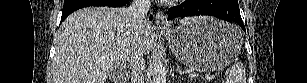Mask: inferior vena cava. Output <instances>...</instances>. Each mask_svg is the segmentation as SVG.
<instances>
[{
    "label": "inferior vena cava",
    "mask_w": 307,
    "mask_h": 83,
    "mask_svg": "<svg viewBox=\"0 0 307 83\" xmlns=\"http://www.w3.org/2000/svg\"><path fill=\"white\" fill-rule=\"evenodd\" d=\"M151 7V0H133L128 8L129 15L132 19V40L128 49L127 59L131 68L132 83H144L145 61L141 46V36L144 28L149 22L147 13Z\"/></svg>",
    "instance_id": "1"
}]
</instances>
